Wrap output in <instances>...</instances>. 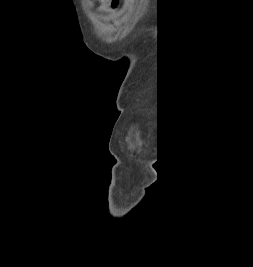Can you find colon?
Wrapping results in <instances>:
<instances>
[{"instance_id": "colon-1", "label": "colon", "mask_w": 253, "mask_h": 267, "mask_svg": "<svg viewBox=\"0 0 253 267\" xmlns=\"http://www.w3.org/2000/svg\"><path fill=\"white\" fill-rule=\"evenodd\" d=\"M93 1V0H90ZM102 2V4L106 5V6H111L113 8L117 7L119 5V0H97Z\"/></svg>"}]
</instances>
